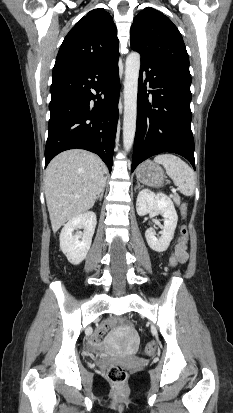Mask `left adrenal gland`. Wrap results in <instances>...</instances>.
Instances as JSON below:
<instances>
[{
    "label": "left adrenal gland",
    "mask_w": 233,
    "mask_h": 413,
    "mask_svg": "<svg viewBox=\"0 0 233 413\" xmlns=\"http://www.w3.org/2000/svg\"><path fill=\"white\" fill-rule=\"evenodd\" d=\"M141 186H140V183L138 182L137 183V189H139Z\"/></svg>",
    "instance_id": "1"
}]
</instances>
